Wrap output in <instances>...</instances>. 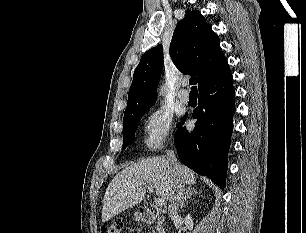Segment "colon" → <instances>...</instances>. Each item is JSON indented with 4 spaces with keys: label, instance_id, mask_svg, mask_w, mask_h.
<instances>
[{
    "label": "colon",
    "instance_id": "obj_1",
    "mask_svg": "<svg viewBox=\"0 0 306 233\" xmlns=\"http://www.w3.org/2000/svg\"><path fill=\"white\" fill-rule=\"evenodd\" d=\"M123 228L122 221H114L112 223L103 225L100 228V233H121Z\"/></svg>",
    "mask_w": 306,
    "mask_h": 233
}]
</instances>
